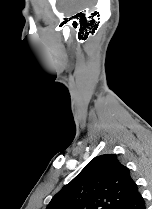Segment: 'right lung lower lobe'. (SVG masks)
<instances>
[{
	"label": "right lung lower lobe",
	"instance_id": "1",
	"mask_svg": "<svg viewBox=\"0 0 152 209\" xmlns=\"http://www.w3.org/2000/svg\"><path fill=\"white\" fill-rule=\"evenodd\" d=\"M119 209H146L145 201L137 190L132 197Z\"/></svg>",
	"mask_w": 152,
	"mask_h": 209
}]
</instances>
